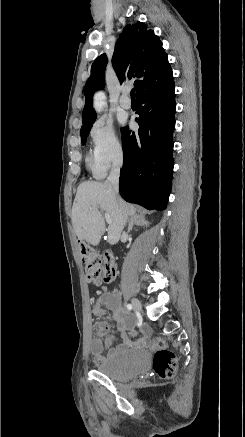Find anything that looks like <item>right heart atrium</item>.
I'll return each instance as SVG.
<instances>
[{
    "label": "right heart atrium",
    "mask_w": 245,
    "mask_h": 437,
    "mask_svg": "<svg viewBox=\"0 0 245 437\" xmlns=\"http://www.w3.org/2000/svg\"><path fill=\"white\" fill-rule=\"evenodd\" d=\"M91 157L90 163L97 177H104L123 159V144L112 123L99 120L90 129Z\"/></svg>",
    "instance_id": "obj_1"
}]
</instances>
